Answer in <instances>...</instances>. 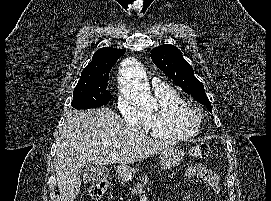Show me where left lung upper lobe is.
Segmentation results:
<instances>
[{
	"instance_id": "obj_1",
	"label": "left lung upper lobe",
	"mask_w": 271,
	"mask_h": 201,
	"mask_svg": "<svg viewBox=\"0 0 271 201\" xmlns=\"http://www.w3.org/2000/svg\"><path fill=\"white\" fill-rule=\"evenodd\" d=\"M151 59L160 70L186 93L205 105L209 112L212 111L204 85L195 78L193 68L183 58L181 51L176 46L166 44L153 48Z\"/></svg>"
}]
</instances>
